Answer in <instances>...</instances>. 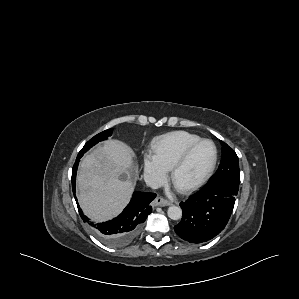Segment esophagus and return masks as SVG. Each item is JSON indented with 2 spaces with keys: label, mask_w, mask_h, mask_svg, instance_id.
Here are the masks:
<instances>
[{
  "label": "esophagus",
  "mask_w": 299,
  "mask_h": 299,
  "mask_svg": "<svg viewBox=\"0 0 299 299\" xmlns=\"http://www.w3.org/2000/svg\"><path fill=\"white\" fill-rule=\"evenodd\" d=\"M153 204L155 206H161V207H163V206L170 205V202L168 200L162 198V197H157V198H155Z\"/></svg>",
  "instance_id": "obj_1"
}]
</instances>
